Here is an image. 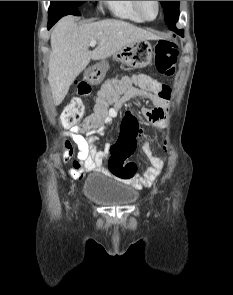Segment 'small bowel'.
I'll list each match as a JSON object with an SVG mask.
<instances>
[{
  "instance_id": "1",
  "label": "small bowel",
  "mask_w": 233,
  "mask_h": 295,
  "mask_svg": "<svg viewBox=\"0 0 233 295\" xmlns=\"http://www.w3.org/2000/svg\"><path fill=\"white\" fill-rule=\"evenodd\" d=\"M139 96L149 99L152 107L141 108L137 113H139L147 122L151 124H158L165 121L167 116L168 99L148 92H138L135 94H125L121 99L115 100L114 107L107 112L102 124L99 127L86 131L83 127L72 126L69 129V134L73 143L78 148L77 159L72 161V168L69 171V175L73 179L80 180L87 172L108 173L105 162L110 154V145L107 143L105 148L100 150L97 145V135L104 134L106 129L118 116L124 105L129 100ZM81 132H85L86 136H83ZM63 148V159H71L74 155L73 144L66 140L63 142ZM146 155L149 158L151 167H149L142 176H134L133 178L127 180L136 189L151 186L161 174L165 165V160L153 156L149 150H146Z\"/></svg>"
}]
</instances>
